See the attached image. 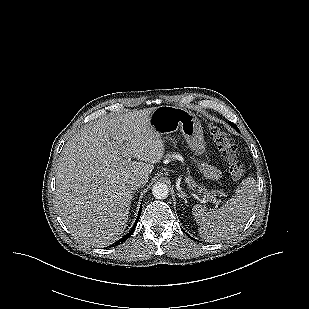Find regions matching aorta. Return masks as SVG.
Returning <instances> with one entry per match:
<instances>
[{
    "instance_id": "aorta-1",
    "label": "aorta",
    "mask_w": 309,
    "mask_h": 309,
    "mask_svg": "<svg viewBox=\"0 0 309 309\" xmlns=\"http://www.w3.org/2000/svg\"><path fill=\"white\" fill-rule=\"evenodd\" d=\"M152 193L156 199H165L169 194V188L165 183H156L153 185Z\"/></svg>"
}]
</instances>
